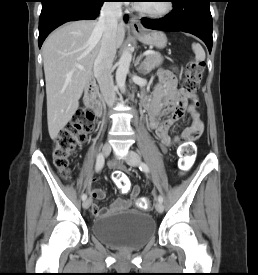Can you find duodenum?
<instances>
[{"label":"duodenum","instance_id":"410a0bca","mask_svg":"<svg viewBox=\"0 0 258 275\" xmlns=\"http://www.w3.org/2000/svg\"><path fill=\"white\" fill-rule=\"evenodd\" d=\"M84 102L86 106L92 110V112L97 116L102 115V104L101 97L94 81H89L85 88Z\"/></svg>","mask_w":258,"mask_h":275}]
</instances>
